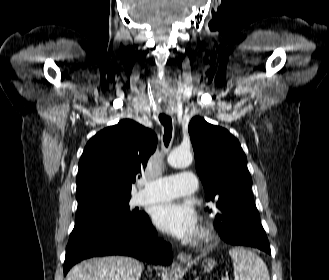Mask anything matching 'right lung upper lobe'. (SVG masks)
I'll return each instance as SVG.
<instances>
[{
  "mask_svg": "<svg viewBox=\"0 0 329 280\" xmlns=\"http://www.w3.org/2000/svg\"><path fill=\"white\" fill-rule=\"evenodd\" d=\"M156 145L155 133L130 119L98 132L79 161L77 199L92 195L130 198L132 185Z\"/></svg>",
  "mask_w": 329,
  "mask_h": 280,
  "instance_id": "cb5924a9",
  "label": "right lung upper lobe"
}]
</instances>
